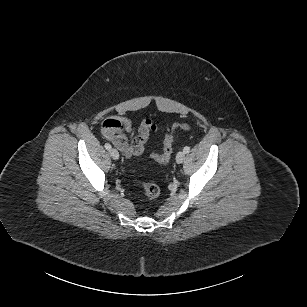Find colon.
<instances>
[{"mask_svg": "<svg viewBox=\"0 0 307 307\" xmlns=\"http://www.w3.org/2000/svg\"><path fill=\"white\" fill-rule=\"evenodd\" d=\"M177 129L190 130L191 126L186 123H174L165 135L162 152L151 154L153 160L161 164H165L170 160L173 151L174 133ZM137 184L142 187L145 195L150 199H154L160 194L159 187L154 183L137 182Z\"/></svg>", "mask_w": 307, "mask_h": 307, "instance_id": "colon-1", "label": "colon"}]
</instances>
